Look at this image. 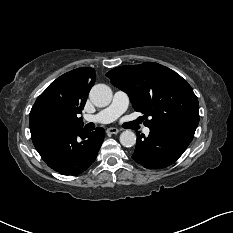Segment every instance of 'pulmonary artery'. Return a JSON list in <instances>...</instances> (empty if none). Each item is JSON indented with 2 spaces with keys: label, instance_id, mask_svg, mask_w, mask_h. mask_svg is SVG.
<instances>
[{
  "label": "pulmonary artery",
  "instance_id": "1",
  "mask_svg": "<svg viewBox=\"0 0 233 233\" xmlns=\"http://www.w3.org/2000/svg\"><path fill=\"white\" fill-rule=\"evenodd\" d=\"M129 105V97L123 91H117L114 96L112 103L105 109L101 110L95 115H87L85 116V120L88 122H96V123H110L117 119L121 114H123ZM145 134H149L150 129L145 127L143 129Z\"/></svg>",
  "mask_w": 233,
  "mask_h": 233
}]
</instances>
